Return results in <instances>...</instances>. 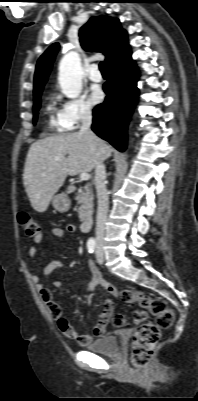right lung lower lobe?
I'll list each match as a JSON object with an SVG mask.
<instances>
[{"instance_id":"obj_1","label":"right lung lower lobe","mask_w":198,"mask_h":401,"mask_svg":"<svg viewBox=\"0 0 198 401\" xmlns=\"http://www.w3.org/2000/svg\"><path fill=\"white\" fill-rule=\"evenodd\" d=\"M105 101L93 109L92 130L119 151L126 149L127 124L138 97V71L130 49L108 65Z\"/></svg>"}]
</instances>
